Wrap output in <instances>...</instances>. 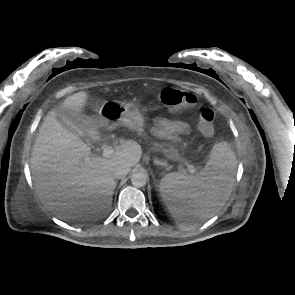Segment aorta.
Listing matches in <instances>:
<instances>
[{
    "mask_svg": "<svg viewBox=\"0 0 295 295\" xmlns=\"http://www.w3.org/2000/svg\"><path fill=\"white\" fill-rule=\"evenodd\" d=\"M148 175L144 171H137L131 175V183L135 187H143L146 185Z\"/></svg>",
    "mask_w": 295,
    "mask_h": 295,
    "instance_id": "1",
    "label": "aorta"
}]
</instances>
